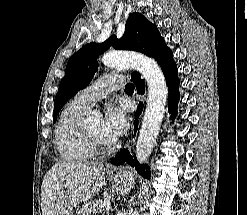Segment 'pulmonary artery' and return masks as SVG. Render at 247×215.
Listing matches in <instances>:
<instances>
[{
  "label": "pulmonary artery",
  "mask_w": 247,
  "mask_h": 215,
  "mask_svg": "<svg viewBox=\"0 0 247 215\" xmlns=\"http://www.w3.org/2000/svg\"><path fill=\"white\" fill-rule=\"evenodd\" d=\"M124 81V77L118 75L101 77L88 87L80 90L74 97V101L83 108L89 109L111 91L120 89Z\"/></svg>",
  "instance_id": "obj_1"
}]
</instances>
